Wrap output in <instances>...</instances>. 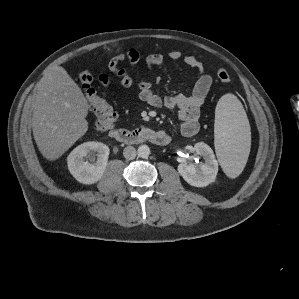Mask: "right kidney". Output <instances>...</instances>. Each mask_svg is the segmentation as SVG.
Returning a JSON list of instances; mask_svg holds the SVG:
<instances>
[{
	"label": "right kidney",
	"instance_id": "obj_1",
	"mask_svg": "<svg viewBox=\"0 0 299 299\" xmlns=\"http://www.w3.org/2000/svg\"><path fill=\"white\" fill-rule=\"evenodd\" d=\"M109 153V147L101 142H85L68 155V169L78 182L94 184L106 170Z\"/></svg>",
	"mask_w": 299,
	"mask_h": 299
}]
</instances>
